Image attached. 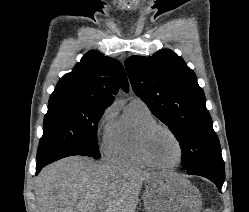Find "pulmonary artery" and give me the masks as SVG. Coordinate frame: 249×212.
Instances as JSON below:
<instances>
[{"label": "pulmonary artery", "instance_id": "e3ab8cb5", "mask_svg": "<svg viewBox=\"0 0 249 212\" xmlns=\"http://www.w3.org/2000/svg\"><path fill=\"white\" fill-rule=\"evenodd\" d=\"M135 101H140V102H142L140 99H134ZM144 103V102H143Z\"/></svg>", "mask_w": 249, "mask_h": 212}]
</instances>
